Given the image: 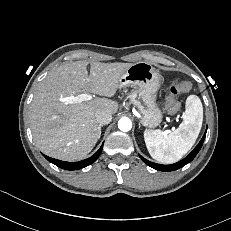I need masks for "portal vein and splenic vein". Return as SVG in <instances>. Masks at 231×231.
<instances>
[{"label": "portal vein and splenic vein", "instance_id": "1", "mask_svg": "<svg viewBox=\"0 0 231 231\" xmlns=\"http://www.w3.org/2000/svg\"><path fill=\"white\" fill-rule=\"evenodd\" d=\"M68 99L71 103H81L83 101L91 100L92 96L89 94H79L77 96H71Z\"/></svg>", "mask_w": 231, "mask_h": 231}]
</instances>
